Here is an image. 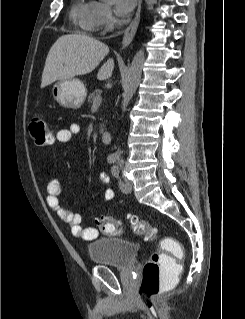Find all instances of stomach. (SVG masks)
Masks as SVG:
<instances>
[{"label": "stomach", "mask_w": 245, "mask_h": 319, "mask_svg": "<svg viewBox=\"0 0 245 319\" xmlns=\"http://www.w3.org/2000/svg\"><path fill=\"white\" fill-rule=\"evenodd\" d=\"M87 95L84 83L76 78L60 80L53 85L52 96L60 105L78 109Z\"/></svg>", "instance_id": "1"}]
</instances>
